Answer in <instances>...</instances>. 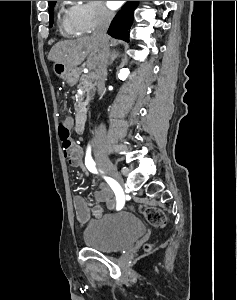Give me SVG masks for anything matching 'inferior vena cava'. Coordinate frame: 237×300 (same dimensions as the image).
<instances>
[{
	"label": "inferior vena cava",
	"mask_w": 237,
	"mask_h": 300,
	"mask_svg": "<svg viewBox=\"0 0 237 300\" xmlns=\"http://www.w3.org/2000/svg\"><path fill=\"white\" fill-rule=\"evenodd\" d=\"M114 17V13L112 11H109L107 7H101V13H100V21L95 29L93 31L92 37H95V39H98L100 43V63L98 65V81H97V91L98 95L100 97H103L104 95V89H105V81L107 77V65H108V59H109V43H108V37H107V31L109 29V25ZM98 137L101 135V139L105 141L106 139V133L104 127H99L97 131ZM100 139H98L97 143H99Z\"/></svg>",
	"instance_id": "1"
}]
</instances>
